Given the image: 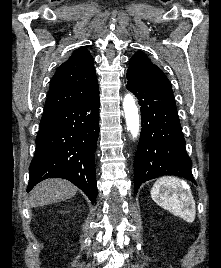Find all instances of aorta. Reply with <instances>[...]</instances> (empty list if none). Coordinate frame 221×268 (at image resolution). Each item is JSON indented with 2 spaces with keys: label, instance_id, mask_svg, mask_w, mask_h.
I'll return each instance as SVG.
<instances>
[{
  "label": "aorta",
  "instance_id": "762f6f07",
  "mask_svg": "<svg viewBox=\"0 0 221 268\" xmlns=\"http://www.w3.org/2000/svg\"><path fill=\"white\" fill-rule=\"evenodd\" d=\"M123 109L125 113L127 130L131 133L133 138H137L139 134V114L138 108L135 104V99L132 94L128 93L123 99Z\"/></svg>",
  "mask_w": 221,
  "mask_h": 268
}]
</instances>
